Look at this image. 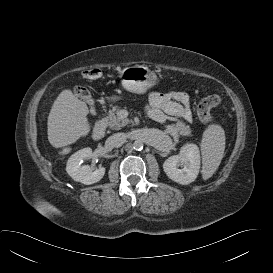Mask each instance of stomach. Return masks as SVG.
Returning a JSON list of instances; mask_svg holds the SVG:
<instances>
[{
	"label": "stomach",
	"mask_w": 273,
	"mask_h": 273,
	"mask_svg": "<svg viewBox=\"0 0 273 273\" xmlns=\"http://www.w3.org/2000/svg\"><path fill=\"white\" fill-rule=\"evenodd\" d=\"M124 89L135 94H144L158 84V77L155 72L145 66H131L124 68L119 75ZM119 97H111L117 101Z\"/></svg>",
	"instance_id": "stomach-1"
}]
</instances>
